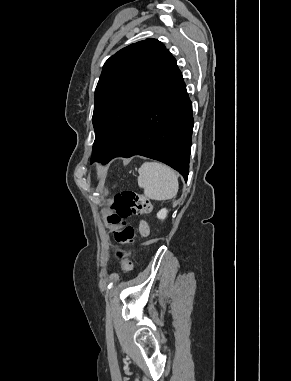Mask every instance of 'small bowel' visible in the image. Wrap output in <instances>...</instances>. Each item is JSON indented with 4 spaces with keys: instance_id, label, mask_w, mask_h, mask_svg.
Listing matches in <instances>:
<instances>
[{
    "instance_id": "c3829d8e",
    "label": "small bowel",
    "mask_w": 291,
    "mask_h": 381,
    "mask_svg": "<svg viewBox=\"0 0 291 381\" xmlns=\"http://www.w3.org/2000/svg\"><path fill=\"white\" fill-rule=\"evenodd\" d=\"M140 232L143 236H147L149 234V228L145 223H142L140 226Z\"/></svg>"
}]
</instances>
